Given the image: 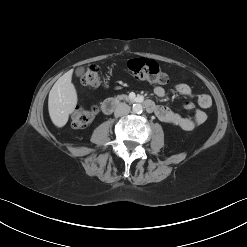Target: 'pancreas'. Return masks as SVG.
Instances as JSON below:
<instances>
[{"instance_id":"obj_1","label":"pancreas","mask_w":247,"mask_h":247,"mask_svg":"<svg viewBox=\"0 0 247 247\" xmlns=\"http://www.w3.org/2000/svg\"><path fill=\"white\" fill-rule=\"evenodd\" d=\"M123 97H124V96L118 95L116 98L120 100V99H122Z\"/></svg>"}]
</instances>
